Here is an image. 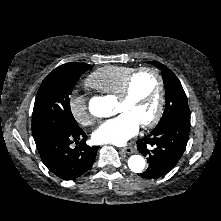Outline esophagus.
Returning a JSON list of instances; mask_svg holds the SVG:
<instances>
[{
    "instance_id": "1",
    "label": "esophagus",
    "mask_w": 221,
    "mask_h": 221,
    "mask_svg": "<svg viewBox=\"0 0 221 221\" xmlns=\"http://www.w3.org/2000/svg\"><path fill=\"white\" fill-rule=\"evenodd\" d=\"M122 152L128 153V154H132L136 152V149L132 146H128V147H123L120 149Z\"/></svg>"
}]
</instances>
